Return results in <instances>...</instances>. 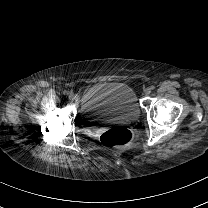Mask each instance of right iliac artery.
I'll list each match as a JSON object with an SVG mask.
<instances>
[{"instance_id": "82829eb1", "label": "right iliac artery", "mask_w": 208, "mask_h": 208, "mask_svg": "<svg viewBox=\"0 0 208 208\" xmlns=\"http://www.w3.org/2000/svg\"><path fill=\"white\" fill-rule=\"evenodd\" d=\"M63 94H64V95H68V92H67V91H64Z\"/></svg>"}]
</instances>
